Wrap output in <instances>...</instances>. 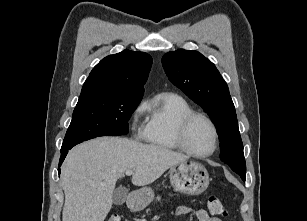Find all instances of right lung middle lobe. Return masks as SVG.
<instances>
[{"mask_svg":"<svg viewBox=\"0 0 307 221\" xmlns=\"http://www.w3.org/2000/svg\"><path fill=\"white\" fill-rule=\"evenodd\" d=\"M138 95H107L77 103L61 151L98 137L128 133V120L140 103Z\"/></svg>","mask_w":307,"mask_h":221,"instance_id":"obj_1","label":"right lung middle lobe"}]
</instances>
